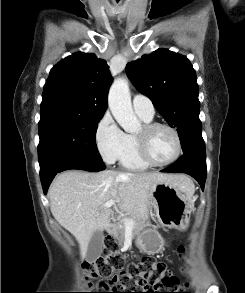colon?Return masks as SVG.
Masks as SVG:
<instances>
[{"mask_svg": "<svg viewBox=\"0 0 245 293\" xmlns=\"http://www.w3.org/2000/svg\"><path fill=\"white\" fill-rule=\"evenodd\" d=\"M185 224L186 219L179 222L177 227L183 228ZM103 244V255L85 265L84 278L86 281L104 278L105 292L89 293H191L179 286L178 279L170 273L165 263L153 257H144L125 267L115 239L108 236ZM178 252L181 258L187 254L185 247H180ZM159 287L171 292H156Z\"/></svg>", "mask_w": 245, "mask_h": 293, "instance_id": "1", "label": "colon"}]
</instances>
